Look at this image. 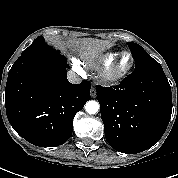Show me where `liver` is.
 <instances>
[{
	"mask_svg": "<svg viewBox=\"0 0 178 178\" xmlns=\"http://www.w3.org/2000/svg\"><path fill=\"white\" fill-rule=\"evenodd\" d=\"M71 44L79 52L81 57L85 59L95 57L99 52L109 46L106 41L92 38L73 40Z\"/></svg>",
	"mask_w": 178,
	"mask_h": 178,
	"instance_id": "obj_1",
	"label": "liver"
}]
</instances>
